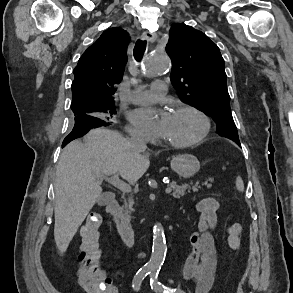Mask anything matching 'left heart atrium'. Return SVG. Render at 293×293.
<instances>
[{
	"mask_svg": "<svg viewBox=\"0 0 293 293\" xmlns=\"http://www.w3.org/2000/svg\"><path fill=\"white\" fill-rule=\"evenodd\" d=\"M131 120L139 127L163 136L167 130L170 114L152 108H140L131 112Z\"/></svg>",
	"mask_w": 293,
	"mask_h": 293,
	"instance_id": "1",
	"label": "left heart atrium"
}]
</instances>
